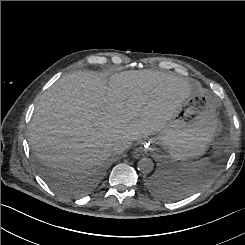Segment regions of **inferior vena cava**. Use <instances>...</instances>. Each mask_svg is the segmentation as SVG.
I'll list each match as a JSON object with an SVG mask.
<instances>
[{"instance_id": "obj_1", "label": "inferior vena cava", "mask_w": 245, "mask_h": 245, "mask_svg": "<svg viewBox=\"0 0 245 245\" xmlns=\"http://www.w3.org/2000/svg\"><path fill=\"white\" fill-rule=\"evenodd\" d=\"M127 148V145L125 143H118L113 147V151L115 153H122Z\"/></svg>"}]
</instances>
